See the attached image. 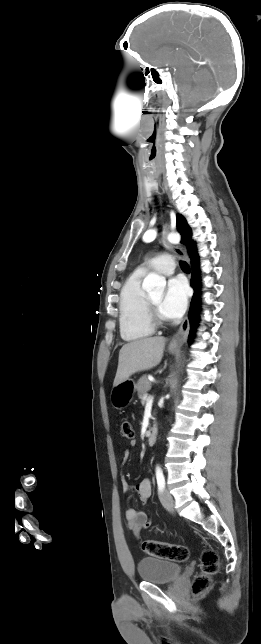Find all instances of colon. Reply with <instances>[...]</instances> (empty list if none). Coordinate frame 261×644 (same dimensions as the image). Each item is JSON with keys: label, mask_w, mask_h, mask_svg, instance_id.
Segmentation results:
<instances>
[{"label": "colon", "mask_w": 261, "mask_h": 644, "mask_svg": "<svg viewBox=\"0 0 261 644\" xmlns=\"http://www.w3.org/2000/svg\"><path fill=\"white\" fill-rule=\"evenodd\" d=\"M121 435L124 438H133L134 430L129 420L121 424ZM142 550L155 558L185 562L189 558V549L184 545L165 543L155 540H144L141 542ZM219 556L213 549H206L201 554L200 573L194 578L192 591L195 595L202 594L211 585L212 577L218 572Z\"/></svg>", "instance_id": "colon-1"}]
</instances>
